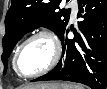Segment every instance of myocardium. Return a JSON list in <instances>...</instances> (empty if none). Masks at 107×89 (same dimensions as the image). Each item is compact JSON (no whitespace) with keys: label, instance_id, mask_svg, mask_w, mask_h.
<instances>
[{"label":"myocardium","instance_id":"myocardium-1","mask_svg":"<svg viewBox=\"0 0 107 89\" xmlns=\"http://www.w3.org/2000/svg\"><path fill=\"white\" fill-rule=\"evenodd\" d=\"M36 37H46L52 44L53 46V57L52 60L50 61V63L42 70L32 73V74H23L20 72L19 68H18V57L19 54L22 50V48L32 39L36 38ZM61 54H62V47H61V43L59 41V39L57 38V36L50 30L47 29H40L37 31H34L33 33H31L30 35H28L17 47L14 56H13V68L15 70V72L20 76V77H24V78H34V77H38L41 76L49 71H51L59 62L60 58H61Z\"/></svg>","mask_w":107,"mask_h":89}]
</instances>
